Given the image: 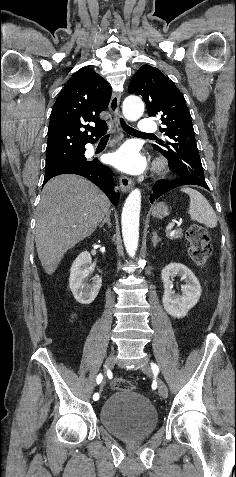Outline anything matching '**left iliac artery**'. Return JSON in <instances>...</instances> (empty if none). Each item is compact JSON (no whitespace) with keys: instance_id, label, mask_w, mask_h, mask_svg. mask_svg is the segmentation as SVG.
<instances>
[{"instance_id":"obj_1","label":"left iliac artery","mask_w":236,"mask_h":477,"mask_svg":"<svg viewBox=\"0 0 236 477\" xmlns=\"http://www.w3.org/2000/svg\"><path fill=\"white\" fill-rule=\"evenodd\" d=\"M151 368H152V370H153L154 373L159 372V368H158V366H157L155 363H151Z\"/></svg>"}]
</instances>
